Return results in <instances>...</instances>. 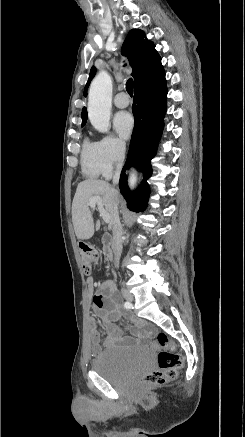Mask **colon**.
<instances>
[{"mask_svg": "<svg viewBox=\"0 0 245 437\" xmlns=\"http://www.w3.org/2000/svg\"><path fill=\"white\" fill-rule=\"evenodd\" d=\"M80 254L86 274H91L102 267V259L93 246L80 245ZM156 341L160 349L157 357L158 367L142 377V383L145 385H162L174 380L183 365L181 355L174 351V344L165 333H158Z\"/></svg>", "mask_w": 245, "mask_h": 437, "instance_id": "colon-1", "label": "colon"}]
</instances>
